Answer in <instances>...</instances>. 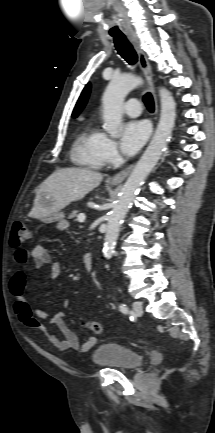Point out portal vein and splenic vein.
<instances>
[{
	"mask_svg": "<svg viewBox=\"0 0 215 433\" xmlns=\"http://www.w3.org/2000/svg\"><path fill=\"white\" fill-rule=\"evenodd\" d=\"M77 220H78V222L83 223L85 221V215L84 214L78 215Z\"/></svg>",
	"mask_w": 215,
	"mask_h": 433,
	"instance_id": "obj_1",
	"label": "portal vein and splenic vein"
}]
</instances>
